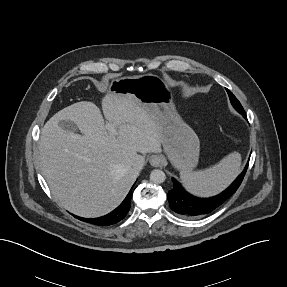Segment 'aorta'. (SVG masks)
<instances>
[{
    "mask_svg": "<svg viewBox=\"0 0 287 287\" xmlns=\"http://www.w3.org/2000/svg\"><path fill=\"white\" fill-rule=\"evenodd\" d=\"M150 180L153 183L161 184L166 180V175L162 170L155 169L150 174Z\"/></svg>",
    "mask_w": 287,
    "mask_h": 287,
    "instance_id": "obj_1",
    "label": "aorta"
}]
</instances>
